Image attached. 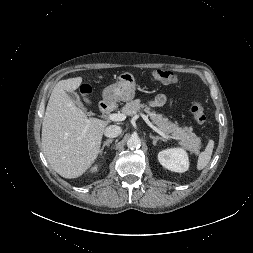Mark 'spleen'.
<instances>
[{"mask_svg": "<svg viewBox=\"0 0 253 253\" xmlns=\"http://www.w3.org/2000/svg\"><path fill=\"white\" fill-rule=\"evenodd\" d=\"M213 148H214V141L209 140L205 150L199 154L198 162H197L198 170H202L207 166V164L209 163L211 159Z\"/></svg>", "mask_w": 253, "mask_h": 253, "instance_id": "spleen-1", "label": "spleen"}]
</instances>
